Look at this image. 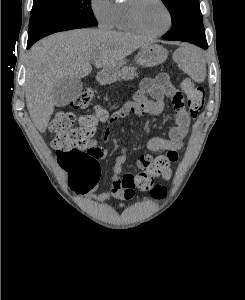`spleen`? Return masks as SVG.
Listing matches in <instances>:
<instances>
[{
  "label": "spleen",
  "mask_w": 245,
  "mask_h": 300,
  "mask_svg": "<svg viewBox=\"0 0 245 300\" xmlns=\"http://www.w3.org/2000/svg\"><path fill=\"white\" fill-rule=\"evenodd\" d=\"M185 56L181 60V68L194 81L203 82L206 78V65L201 52L195 48H186Z\"/></svg>",
  "instance_id": "obj_1"
}]
</instances>
